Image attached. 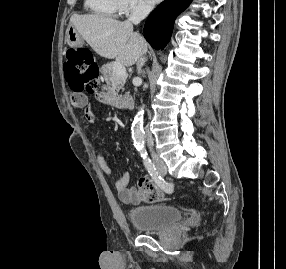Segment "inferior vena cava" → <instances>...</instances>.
Listing matches in <instances>:
<instances>
[{
  "label": "inferior vena cava",
  "instance_id": "602c4592",
  "mask_svg": "<svg viewBox=\"0 0 286 269\" xmlns=\"http://www.w3.org/2000/svg\"><path fill=\"white\" fill-rule=\"evenodd\" d=\"M152 8H153L152 4H145L142 2L138 3L137 5L134 6L131 15L128 18V22L133 23V24H139L143 19H145V17L149 14ZM145 53L146 51H144V53L142 54V57L137 63L138 73H140L141 67L143 66L145 62V58L143 57ZM146 138H147L148 147L151 151V156L152 158H154L156 156V154L154 153L152 149L154 142H153V138L149 130L146 131Z\"/></svg>",
  "mask_w": 286,
  "mask_h": 269
}]
</instances>
